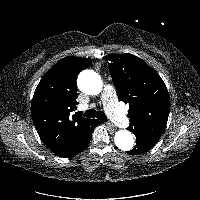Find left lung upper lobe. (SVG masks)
<instances>
[{
  "label": "left lung upper lobe",
  "mask_w": 200,
  "mask_h": 200,
  "mask_svg": "<svg viewBox=\"0 0 200 200\" xmlns=\"http://www.w3.org/2000/svg\"><path fill=\"white\" fill-rule=\"evenodd\" d=\"M110 74L116 85L118 98L129 103L128 129L136 140L156 144L168 120L170 98L166 85L158 73L132 54H109Z\"/></svg>",
  "instance_id": "5c2ea615"
}]
</instances>
